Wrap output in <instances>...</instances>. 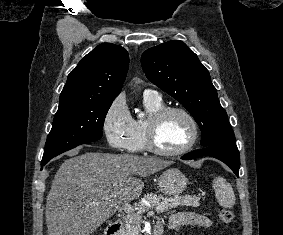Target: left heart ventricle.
Instances as JSON below:
<instances>
[{
	"label": "left heart ventricle",
	"instance_id": "b2bd125f",
	"mask_svg": "<svg viewBox=\"0 0 283 235\" xmlns=\"http://www.w3.org/2000/svg\"><path fill=\"white\" fill-rule=\"evenodd\" d=\"M190 135L191 126L188 120L180 113H170L159 123L155 142L160 149L172 151L184 146Z\"/></svg>",
	"mask_w": 283,
	"mask_h": 235
}]
</instances>
